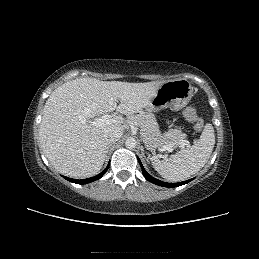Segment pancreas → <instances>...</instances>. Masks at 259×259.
<instances>
[{"mask_svg":"<svg viewBox=\"0 0 259 259\" xmlns=\"http://www.w3.org/2000/svg\"><path fill=\"white\" fill-rule=\"evenodd\" d=\"M130 120L140 126L141 135L147 147L159 148L166 146L174 149L177 146H182L185 141L186 134L177 129H171L162 134L152 113L133 115Z\"/></svg>","mask_w":259,"mask_h":259,"instance_id":"pancreas-1","label":"pancreas"}]
</instances>
